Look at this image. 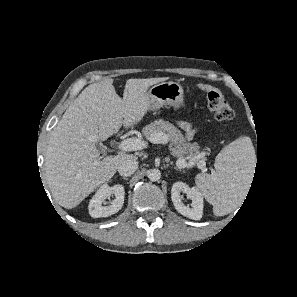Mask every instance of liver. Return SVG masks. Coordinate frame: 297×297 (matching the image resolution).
<instances>
[{"label":"liver","mask_w":297,"mask_h":297,"mask_svg":"<svg viewBox=\"0 0 297 297\" xmlns=\"http://www.w3.org/2000/svg\"><path fill=\"white\" fill-rule=\"evenodd\" d=\"M166 78L128 79L123 99L113 79L87 86L53 129L45 154L48 187L66 209L80 204L97 187L111 179L132 154L99 159L96 143L142 120L149 110L148 88Z\"/></svg>","instance_id":"obj_1"}]
</instances>
